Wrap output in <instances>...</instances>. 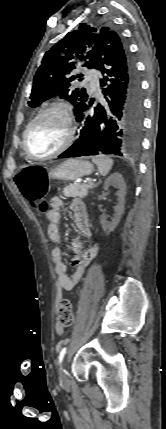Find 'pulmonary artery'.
<instances>
[{
  "mask_svg": "<svg viewBox=\"0 0 166 429\" xmlns=\"http://www.w3.org/2000/svg\"><path fill=\"white\" fill-rule=\"evenodd\" d=\"M89 88L92 91L99 92V75L94 73H88L86 76Z\"/></svg>",
  "mask_w": 166,
  "mask_h": 429,
  "instance_id": "pulmonary-artery-1",
  "label": "pulmonary artery"
}]
</instances>
